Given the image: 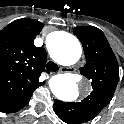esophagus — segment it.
<instances>
[{"instance_id": "1", "label": "esophagus", "mask_w": 124, "mask_h": 124, "mask_svg": "<svg viewBox=\"0 0 124 124\" xmlns=\"http://www.w3.org/2000/svg\"><path fill=\"white\" fill-rule=\"evenodd\" d=\"M75 70L76 69L74 67H61L60 68L61 73L75 72Z\"/></svg>"}]
</instances>
